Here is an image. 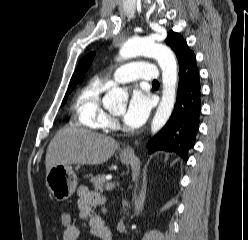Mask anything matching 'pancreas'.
Wrapping results in <instances>:
<instances>
[{
    "label": "pancreas",
    "mask_w": 248,
    "mask_h": 240,
    "mask_svg": "<svg viewBox=\"0 0 248 240\" xmlns=\"http://www.w3.org/2000/svg\"><path fill=\"white\" fill-rule=\"evenodd\" d=\"M90 182L93 184L95 190H99V191H103L104 188H106V186L110 184L106 181V176L104 174H100L96 177H92L90 179Z\"/></svg>",
    "instance_id": "cf45deb5"
}]
</instances>
